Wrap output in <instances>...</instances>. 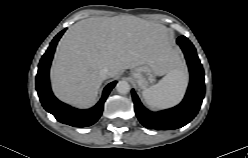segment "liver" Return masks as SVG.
I'll list each match as a JSON object with an SVG mask.
<instances>
[{
  "mask_svg": "<svg viewBox=\"0 0 248 158\" xmlns=\"http://www.w3.org/2000/svg\"><path fill=\"white\" fill-rule=\"evenodd\" d=\"M169 60L179 64L164 26L131 15L91 17L72 25L59 41L51 67L52 88L62 101L88 107L103 82L102 68L107 67L113 78L147 64L161 76Z\"/></svg>",
  "mask_w": 248,
  "mask_h": 158,
  "instance_id": "obj_1",
  "label": "liver"
}]
</instances>
